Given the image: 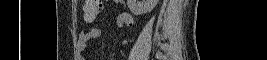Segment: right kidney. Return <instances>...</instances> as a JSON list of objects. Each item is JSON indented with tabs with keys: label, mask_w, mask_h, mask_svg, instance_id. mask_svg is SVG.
Returning <instances> with one entry per match:
<instances>
[{
	"label": "right kidney",
	"mask_w": 267,
	"mask_h": 60,
	"mask_svg": "<svg viewBox=\"0 0 267 60\" xmlns=\"http://www.w3.org/2000/svg\"><path fill=\"white\" fill-rule=\"evenodd\" d=\"M159 0H127L128 7L134 15L151 12Z\"/></svg>",
	"instance_id": "ca27d5eb"
}]
</instances>
